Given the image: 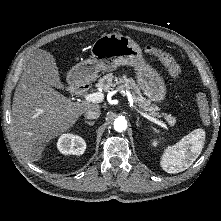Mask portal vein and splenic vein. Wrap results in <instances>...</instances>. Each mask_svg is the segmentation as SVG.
<instances>
[{"label":"portal vein and splenic vein","mask_w":221,"mask_h":221,"mask_svg":"<svg viewBox=\"0 0 221 221\" xmlns=\"http://www.w3.org/2000/svg\"><path fill=\"white\" fill-rule=\"evenodd\" d=\"M129 97V103L131 106H134L133 104V99L131 97V95H128ZM104 99V94L101 93V92H95V93H89V94H86L85 95V100L88 101V102H92V103H100L102 102ZM137 111L143 116L145 117L146 119L150 120L151 122L155 123V124H158L160 125L161 127H163L164 129H166L167 131L169 130L167 124H165L163 121L157 119V118H154L152 116H149L147 113H144L140 110L137 109Z\"/></svg>","instance_id":"1"}]
</instances>
